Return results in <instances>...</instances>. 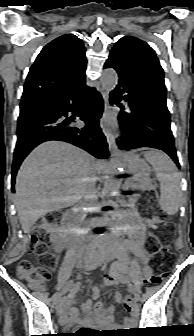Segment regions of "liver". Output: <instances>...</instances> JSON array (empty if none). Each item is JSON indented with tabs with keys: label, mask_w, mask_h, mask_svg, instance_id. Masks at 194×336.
<instances>
[{
	"label": "liver",
	"mask_w": 194,
	"mask_h": 336,
	"mask_svg": "<svg viewBox=\"0 0 194 336\" xmlns=\"http://www.w3.org/2000/svg\"><path fill=\"white\" fill-rule=\"evenodd\" d=\"M106 164L65 142L36 147L22 163L16 180L15 205L24 233L43 215L74 205L86 193L91 176Z\"/></svg>",
	"instance_id": "obj_1"
}]
</instances>
